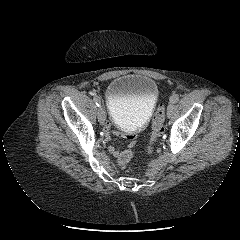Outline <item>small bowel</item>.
Wrapping results in <instances>:
<instances>
[{"instance_id":"obj_1","label":"small bowel","mask_w":240,"mask_h":240,"mask_svg":"<svg viewBox=\"0 0 240 240\" xmlns=\"http://www.w3.org/2000/svg\"><path fill=\"white\" fill-rule=\"evenodd\" d=\"M110 126H111V121L110 120H105L104 121V127H103V132L106 133V138L107 140H112L113 137L116 136H124V138H128V145L130 147H135L137 145V137L135 135L127 133V131H117V133L114 130L110 131ZM113 136V137H112ZM109 151L116 157L120 156V151L114 147H110Z\"/></svg>"}]
</instances>
